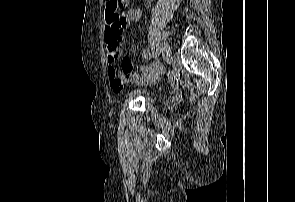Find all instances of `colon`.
Here are the masks:
<instances>
[{
	"instance_id": "colon-1",
	"label": "colon",
	"mask_w": 295,
	"mask_h": 202,
	"mask_svg": "<svg viewBox=\"0 0 295 202\" xmlns=\"http://www.w3.org/2000/svg\"><path fill=\"white\" fill-rule=\"evenodd\" d=\"M127 2L128 0H106L107 14L110 15L112 19H123L124 18L123 8ZM115 86H119V85H115Z\"/></svg>"
}]
</instances>
